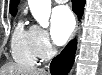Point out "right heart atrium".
Returning <instances> with one entry per match:
<instances>
[{
    "instance_id": "right-heart-atrium-1",
    "label": "right heart atrium",
    "mask_w": 102,
    "mask_h": 75,
    "mask_svg": "<svg viewBox=\"0 0 102 75\" xmlns=\"http://www.w3.org/2000/svg\"><path fill=\"white\" fill-rule=\"evenodd\" d=\"M31 30L33 33V44L37 58L43 60L49 58L52 54L53 46L47 31L37 25L32 26Z\"/></svg>"
}]
</instances>
